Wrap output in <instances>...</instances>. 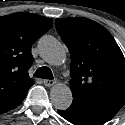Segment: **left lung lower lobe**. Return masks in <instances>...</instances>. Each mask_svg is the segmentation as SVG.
<instances>
[{
	"mask_svg": "<svg viewBox=\"0 0 125 125\" xmlns=\"http://www.w3.org/2000/svg\"><path fill=\"white\" fill-rule=\"evenodd\" d=\"M120 109L110 104L71 105L66 110H58V113L75 125H101L111 120Z\"/></svg>",
	"mask_w": 125,
	"mask_h": 125,
	"instance_id": "obj_1",
	"label": "left lung lower lobe"
}]
</instances>
